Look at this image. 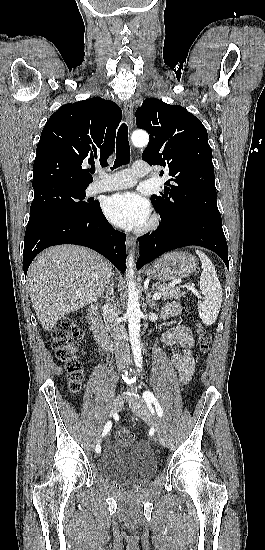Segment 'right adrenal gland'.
I'll use <instances>...</instances> for the list:
<instances>
[{"label":"right adrenal gland","mask_w":265,"mask_h":550,"mask_svg":"<svg viewBox=\"0 0 265 550\" xmlns=\"http://www.w3.org/2000/svg\"><path fill=\"white\" fill-rule=\"evenodd\" d=\"M111 297H113V285L111 284L108 291L106 292L105 296H102V298L109 300Z\"/></svg>","instance_id":"obj_1"}]
</instances>
